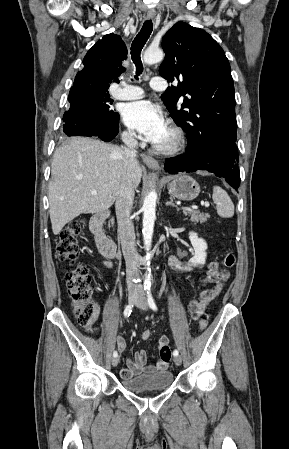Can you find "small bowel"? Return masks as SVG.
<instances>
[{
    "label": "small bowel",
    "instance_id": "c3829d8e",
    "mask_svg": "<svg viewBox=\"0 0 289 449\" xmlns=\"http://www.w3.org/2000/svg\"><path fill=\"white\" fill-rule=\"evenodd\" d=\"M107 266H111L110 262H106ZM170 267L178 272H187L191 270V266L177 259L175 256L169 258ZM229 273L219 270L216 262H210L206 276L202 280L203 285L214 284L213 288L204 289L200 292L198 298L190 301L188 309L193 319L200 317L210 302L220 293L224 283L228 280ZM116 344L122 351L126 348L125 340L121 336L116 337ZM169 339L162 335L158 341L160 359L153 365L147 364V353L144 350L136 352L133 359H127L126 367L121 369L120 376L123 379L132 378L142 372L151 373L154 371L166 370L170 358L172 356Z\"/></svg>",
    "mask_w": 289,
    "mask_h": 449
}]
</instances>
